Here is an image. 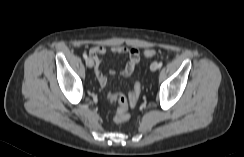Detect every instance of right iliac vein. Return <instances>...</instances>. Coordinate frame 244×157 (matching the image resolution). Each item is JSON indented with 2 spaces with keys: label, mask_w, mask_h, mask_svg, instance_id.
Wrapping results in <instances>:
<instances>
[{
  "label": "right iliac vein",
  "mask_w": 244,
  "mask_h": 157,
  "mask_svg": "<svg viewBox=\"0 0 244 157\" xmlns=\"http://www.w3.org/2000/svg\"><path fill=\"white\" fill-rule=\"evenodd\" d=\"M86 65L89 67V68H92L94 66V63H93V60L91 58H87L86 60Z\"/></svg>",
  "instance_id": "1"
}]
</instances>
